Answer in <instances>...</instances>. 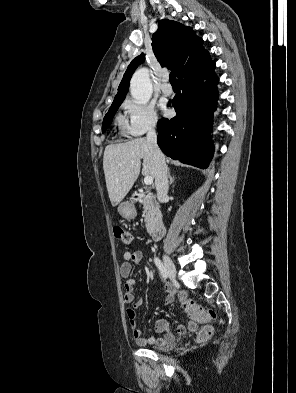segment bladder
<instances>
[{
  "label": "bladder",
  "instance_id": "obj_1",
  "mask_svg": "<svg viewBox=\"0 0 296 393\" xmlns=\"http://www.w3.org/2000/svg\"><path fill=\"white\" fill-rule=\"evenodd\" d=\"M174 346H175V342L171 341L170 343H168L164 346L151 347V349L156 350V351H167V350H171L172 348H174Z\"/></svg>",
  "mask_w": 296,
  "mask_h": 393
}]
</instances>
